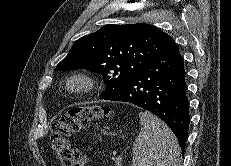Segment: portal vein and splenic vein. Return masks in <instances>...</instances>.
<instances>
[{"label":"portal vein and splenic vein","instance_id":"1","mask_svg":"<svg viewBox=\"0 0 231 166\" xmlns=\"http://www.w3.org/2000/svg\"><path fill=\"white\" fill-rule=\"evenodd\" d=\"M115 162L118 166H120L122 164V158L121 157H116L115 158Z\"/></svg>","mask_w":231,"mask_h":166}]
</instances>
